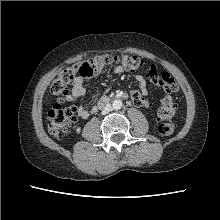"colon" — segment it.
<instances>
[{
    "label": "colon",
    "instance_id": "obj_1",
    "mask_svg": "<svg viewBox=\"0 0 220 220\" xmlns=\"http://www.w3.org/2000/svg\"><path fill=\"white\" fill-rule=\"evenodd\" d=\"M105 64H119L131 72L139 71L145 65L143 59L136 55H101L93 57L86 62L60 69L49 87L50 94L57 100V103L49 111V127L54 137L60 138L64 136L76 119V108L74 106L66 107L62 105L64 99H67L69 96L70 85L75 77L77 75H86L90 69ZM146 75L151 83L161 87L166 93L158 109V117L161 121L159 133L162 136H170L175 129L172 119L177 110L176 104L170 94L178 90V84L170 73H159L154 65L147 68Z\"/></svg>",
    "mask_w": 220,
    "mask_h": 220
}]
</instances>
